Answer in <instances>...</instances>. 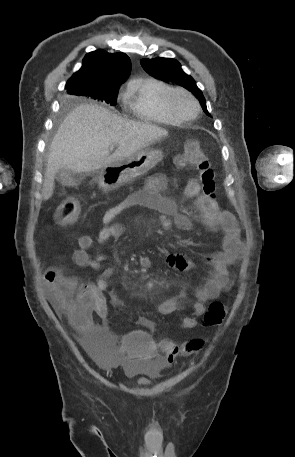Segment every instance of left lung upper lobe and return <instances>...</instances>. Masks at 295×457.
Returning a JSON list of instances; mask_svg holds the SVG:
<instances>
[{"label":"left lung upper lobe","instance_id":"obj_1","mask_svg":"<svg viewBox=\"0 0 295 457\" xmlns=\"http://www.w3.org/2000/svg\"><path fill=\"white\" fill-rule=\"evenodd\" d=\"M140 63L149 75L157 79L174 82L191 91L200 100L204 112L210 115L201 90L196 86L194 79L183 72L181 64L177 60L157 57L155 59H142Z\"/></svg>","mask_w":295,"mask_h":457}]
</instances>
